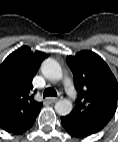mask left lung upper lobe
Listing matches in <instances>:
<instances>
[{
    "label": "left lung upper lobe",
    "instance_id": "5c2ea615",
    "mask_svg": "<svg viewBox=\"0 0 118 142\" xmlns=\"http://www.w3.org/2000/svg\"><path fill=\"white\" fill-rule=\"evenodd\" d=\"M78 99L68 115L91 133L102 130L117 108L118 83L105 61L91 51L68 56Z\"/></svg>",
    "mask_w": 118,
    "mask_h": 142
}]
</instances>
